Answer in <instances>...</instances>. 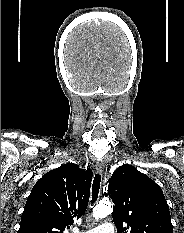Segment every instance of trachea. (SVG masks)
<instances>
[{
	"label": "trachea",
	"instance_id": "trachea-1",
	"mask_svg": "<svg viewBox=\"0 0 184 233\" xmlns=\"http://www.w3.org/2000/svg\"><path fill=\"white\" fill-rule=\"evenodd\" d=\"M100 182H101V175L96 174L93 180L92 184V198H91V203L93 204L97 198H98V193L100 189Z\"/></svg>",
	"mask_w": 184,
	"mask_h": 233
}]
</instances>
